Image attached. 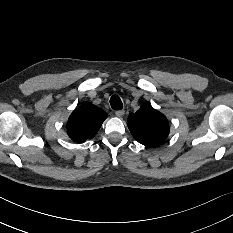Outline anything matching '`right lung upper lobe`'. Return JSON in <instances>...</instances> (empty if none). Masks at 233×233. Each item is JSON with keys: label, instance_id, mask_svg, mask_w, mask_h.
Here are the masks:
<instances>
[{"label": "right lung upper lobe", "instance_id": "cb5924a9", "mask_svg": "<svg viewBox=\"0 0 233 233\" xmlns=\"http://www.w3.org/2000/svg\"><path fill=\"white\" fill-rule=\"evenodd\" d=\"M106 118L107 114L102 109L90 103H83L69 117L68 135L73 141L83 143L95 136Z\"/></svg>", "mask_w": 233, "mask_h": 233}]
</instances>
